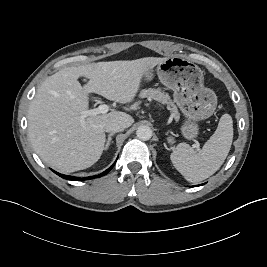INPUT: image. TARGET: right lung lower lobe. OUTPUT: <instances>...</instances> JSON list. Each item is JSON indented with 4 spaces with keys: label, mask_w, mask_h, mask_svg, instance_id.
Returning a JSON list of instances; mask_svg holds the SVG:
<instances>
[{
    "label": "right lung lower lobe",
    "mask_w": 267,
    "mask_h": 267,
    "mask_svg": "<svg viewBox=\"0 0 267 267\" xmlns=\"http://www.w3.org/2000/svg\"><path fill=\"white\" fill-rule=\"evenodd\" d=\"M114 164L111 167H109L107 170H105L103 173L99 174V175L90 176V177H84V178H78V177L63 175V174H60V173L55 172V171H53V172H55L57 175H59L60 177H62L64 179H67V180L82 181V180H87V179H92V178H98V177H101V176L106 175L113 168Z\"/></svg>",
    "instance_id": "1"
}]
</instances>
